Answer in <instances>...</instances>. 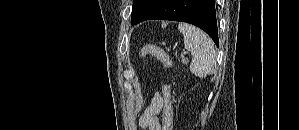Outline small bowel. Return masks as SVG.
<instances>
[{
    "instance_id": "1",
    "label": "small bowel",
    "mask_w": 299,
    "mask_h": 130,
    "mask_svg": "<svg viewBox=\"0 0 299 130\" xmlns=\"http://www.w3.org/2000/svg\"><path fill=\"white\" fill-rule=\"evenodd\" d=\"M163 102V97L156 92L139 118V126L142 130H161L158 115L162 110Z\"/></svg>"
}]
</instances>
